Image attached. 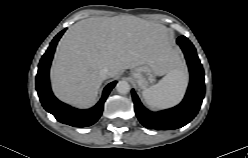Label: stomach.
Returning <instances> with one entry per match:
<instances>
[{"label": "stomach", "instance_id": "stomach-1", "mask_svg": "<svg viewBox=\"0 0 248 158\" xmlns=\"http://www.w3.org/2000/svg\"><path fill=\"white\" fill-rule=\"evenodd\" d=\"M175 66L176 65L173 61L171 60L167 61L163 67L165 74L168 73ZM156 75L157 74L154 71V69L147 64L136 67L131 73L132 78L136 81L138 86L143 90L151 87L154 84Z\"/></svg>", "mask_w": 248, "mask_h": 158}]
</instances>
